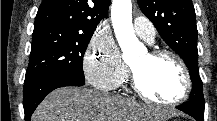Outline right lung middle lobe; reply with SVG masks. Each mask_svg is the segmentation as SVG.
<instances>
[{"mask_svg":"<svg viewBox=\"0 0 217 121\" xmlns=\"http://www.w3.org/2000/svg\"><path fill=\"white\" fill-rule=\"evenodd\" d=\"M93 33L56 24L34 27L25 81L50 72L84 81L83 56Z\"/></svg>","mask_w":217,"mask_h":121,"instance_id":"obj_1","label":"right lung middle lobe"}]
</instances>
